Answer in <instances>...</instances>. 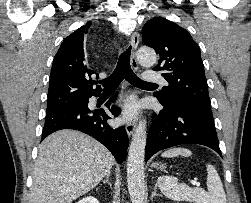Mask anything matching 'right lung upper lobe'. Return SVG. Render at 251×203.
Returning a JSON list of instances; mask_svg holds the SVG:
<instances>
[{"mask_svg":"<svg viewBox=\"0 0 251 203\" xmlns=\"http://www.w3.org/2000/svg\"><path fill=\"white\" fill-rule=\"evenodd\" d=\"M90 25L88 22L65 38L55 55L50 74L47 111L101 92L100 86L96 89L92 87L95 81L91 75L96 73L87 67L84 54V36Z\"/></svg>","mask_w":251,"mask_h":203,"instance_id":"1","label":"right lung upper lobe"}]
</instances>
